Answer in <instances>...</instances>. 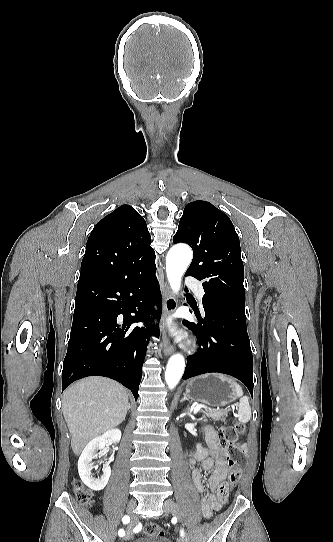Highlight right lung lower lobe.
Listing matches in <instances>:
<instances>
[{
	"label": "right lung lower lobe",
	"instance_id": "1",
	"mask_svg": "<svg viewBox=\"0 0 333 542\" xmlns=\"http://www.w3.org/2000/svg\"><path fill=\"white\" fill-rule=\"evenodd\" d=\"M154 259L150 250L128 248L114 253L86 249L81 269L122 271L125 276L114 281L78 282L62 391L83 377L105 376L129 388L137 400L146 345L152 334L159 336V329L148 325L130 329V325L160 318L161 293ZM154 304H158V311H153Z\"/></svg>",
	"mask_w": 333,
	"mask_h": 542
}]
</instances>
